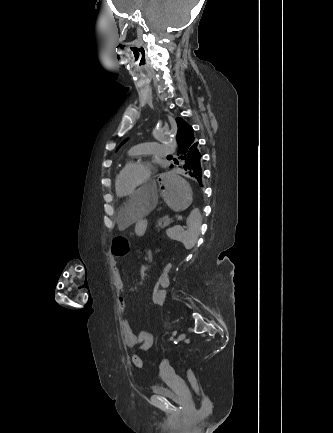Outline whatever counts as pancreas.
Returning <instances> with one entry per match:
<instances>
[{
  "mask_svg": "<svg viewBox=\"0 0 333 433\" xmlns=\"http://www.w3.org/2000/svg\"><path fill=\"white\" fill-rule=\"evenodd\" d=\"M172 222V219L169 218V216H164L160 218L156 224V227L158 228H164L165 226H168Z\"/></svg>",
  "mask_w": 333,
  "mask_h": 433,
  "instance_id": "cf45deb5",
  "label": "pancreas"
}]
</instances>
